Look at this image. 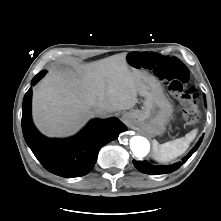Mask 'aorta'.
<instances>
[{
  "mask_svg": "<svg viewBox=\"0 0 221 221\" xmlns=\"http://www.w3.org/2000/svg\"><path fill=\"white\" fill-rule=\"evenodd\" d=\"M130 148L136 157H145L150 150L149 141L142 136H133L130 139Z\"/></svg>",
  "mask_w": 221,
  "mask_h": 221,
  "instance_id": "762f6f07",
  "label": "aorta"
}]
</instances>
